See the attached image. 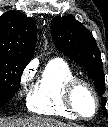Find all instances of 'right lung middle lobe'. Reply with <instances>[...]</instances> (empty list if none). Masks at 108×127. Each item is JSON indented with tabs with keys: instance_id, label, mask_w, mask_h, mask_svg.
I'll use <instances>...</instances> for the list:
<instances>
[{
	"instance_id": "obj_1",
	"label": "right lung middle lobe",
	"mask_w": 108,
	"mask_h": 127,
	"mask_svg": "<svg viewBox=\"0 0 108 127\" xmlns=\"http://www.w3.org/2000/svg\"><path fill=\"white\" fill-rule=\"evenodd\" d=\"M28 63L0 55V102H8L19 88L23 69Z\"/></svg>"
}]
</instances>
